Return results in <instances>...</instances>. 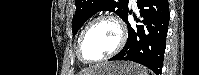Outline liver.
<instances>
[{
    "instance_id": "liver-1",
    "label": "liver",
    "mask_w": 199,
    "mask_h": 75,
    "mask_svg": "<svg viewBox=\"0 0 199 75\" xmlns=\"http://www.w3.org/2000/svg\"><path fill=\"white\" fill-rule=\"evenodd\" d=\"M92 72H93L92 70L86 71L84 72V75H90Z\"/></svg>"
}]
</instances>
